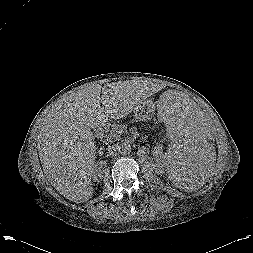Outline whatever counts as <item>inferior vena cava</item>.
<instances>
[{"instance_id": "1", "label": "inferior vena cava", "mask_w": 253, "mask_h": 253, "mask_svg": "<svg viewBox=\"0 0 253 253\" xmlns=\"http://www.w3.org/2000/svg\"><path fill=\"white\" fill-rule=\"evenodd\" d=\"M108 150H109V154L111 156H116L118 154V144H115L113 146H109Z\"/></svg>"}]
</instances>
